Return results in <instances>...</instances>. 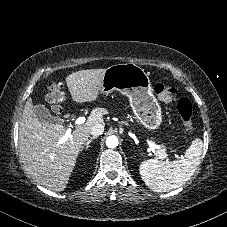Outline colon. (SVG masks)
<instances>
[{"label": "colon", "mask_w": 227, "mask_h": 227, "mask_svg": "<svg viewBox=\"0 0 227 227\" xmlns=\"http://www.w3.org/2000/svg\"><path fill=\"white\" fill-rule=\"evenodd\" d=\"M154 92L164 103H173L177 101V89L171 84L157 83L154 86ZM47 100L52 109L58 110L64 100L63 87L58 83L50 85L48 88ZM177 112L183 128L187 131L192 130L191 102L187 99L180 100L177 104Z\"/></svg>", "instance_id": "1"}]
</instances>
